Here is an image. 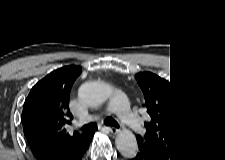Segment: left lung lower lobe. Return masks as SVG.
<instances>
[{
	"label": "left lung lower lobe",
	"instance_id": "1",
	"mask_svg": "<svg viewBox=\"0 0 225 160\" xmlns=\"http://www.w3.org/2000/svg\"><path fill=\"white\" fill-rule=\"evenodd\" d=\"M132 160H167L162 156L147 150H143L139 148V152L137 155L132 158Z\"/></svg>",
	"mask_w": 225,
	"mask_h": 160
}]
</instances>
